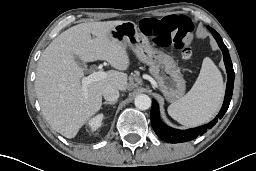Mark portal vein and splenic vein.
I'll use <instances>...</instances> for the list:
<instances>
[{
	"mask_svg": "<svg viewBox=\"0 0 256 171\" xmlns=\"http://www.w3.org/2000/svg\"><path fill=\"white\" fill-rule=\"evenodd\" d=\"M108 76V73L107 72H104V71H98V72H93L91 73L89 76L87 77H84L82 79V90H83V94H84V97L86 98L87 97V85L91 82H95V81H99V80H102V79H105L107 78Z\"/></svg>",
	"mask_w": 256,
	"mask_h": 171,
	"instance_id": "1",
	"label": "portal vein and splenic vein"
}]
</instances>
